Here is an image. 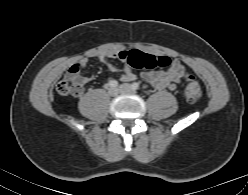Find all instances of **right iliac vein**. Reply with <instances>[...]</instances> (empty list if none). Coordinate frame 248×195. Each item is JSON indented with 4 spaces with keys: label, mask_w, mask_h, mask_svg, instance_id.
I'll list each match as a JSON object with an SVG mask.
<instances>
[{
    "label": "right iliac vein",
    "mask_w": 248,
    "mask_h": 195,
    "mask_svg": "<svg viewBox=\"0 0 248 195\" xmlns=\"http://www.w3.org/2000/svg\"><path fill=\"white\" fill-rule=\"evenodd\" d=\"M110 96H117L119 94V89L116 87H111L108 90Z\"/></svg>",
    "instance_id": "right-iliac-vein-1"
}]
</instances>
